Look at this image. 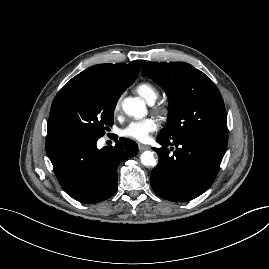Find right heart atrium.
<instances>
[{
	"label": "right heart atrium",
	"instance_id": "d8ad5b80",
	"mask_svg": "<svg viewBox=\"0 0 269 269\" xmlns=\"http://www.w3.org/2000/svg\"><path fill=\"white\" fill-rule=\"evenodd\" d=\"M121 101H122V97H118L114 103L113 106V113L114 115H118L121 109Z\"/></svg>",
	"mask_w": 269,
	"mask_h": 269
}]
</instances>
